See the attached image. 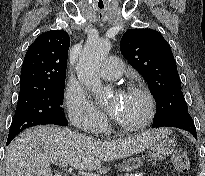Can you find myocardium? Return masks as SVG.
I'll return each mask as SVG.
<instances>
[{"label": "myocardium", "mask_w": 205, "mask_h": 176, "mask_svg": "<svg viewBox=\"0 0 205 176\" xmlns=\"http://www.w3.org/2000/svg\"><path fill=\"white\" fill-rule=\"evenodd\" d=\"M130 92L138 93L144 97L147 103V113L140 122L133 124V125L122 123L114 118L115 125L119 129L128 131V132L137 131V130H140L146 127L152 121L155 115V111H156L155 99L152 93L146 87L142 85H135L130 88Z\"/></svg>", "instance_id": "obj_1"}]
</instances>
